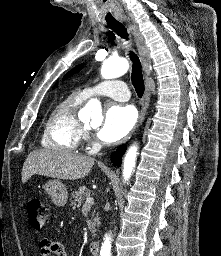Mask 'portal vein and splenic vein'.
Wrapping results in <instances>:
<instances>
[{"instance_id": "obj_1", "label": "portal vein and splenic vein", "mask_w": 221, "mask_h": 256, "mask_svg": "<svg viewBox=\"0 0 221 256\" xmlns=\"http://www.w3.org/2000/svg\"><path fill=\"white\" fill-rule=\"evenodd\" d=\"M94 203V200L92 197H87L83 207L86 208V207H89L91 206L92 204Z\"/></svg>"}]
</instances>
